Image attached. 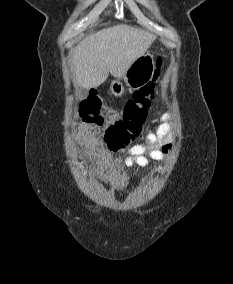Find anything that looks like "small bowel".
Instances as JSON below:
<instances>
[{
	"instance_id": "obj_1",
	"label": "small bowel",
	"mask_w": 233,
	"mask_h": 284,
	"mask_svg": "<svg viewBox=\"0 0 233 284\" xmlns=\"http://www.w3.org/2000/svg\"><path fill=\"white\" fill-rule=\"evenodd\" d=\"M170 116L164 114L160 117L157 128L146 134L145 143L130 147L123 160L107 157L106 180L115 187H120L126 180L125 168L133 166L146 167L149 160H162L170 150L168 142Z\"/></svg>"
}]
</instances>
